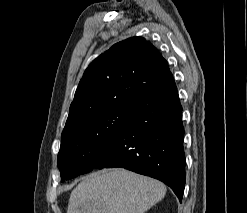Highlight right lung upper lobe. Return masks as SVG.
Instances as JSON below:
<instances>
[{"instance_id":"1","label":"right lung upper lobe","mask_w":247,"mask_h":213,"mask_svg":"<svg viewBox=\"0 0 247 213\" xmlns=\"http://www.w3.org/2000/svg\"><path fill=\"white\" fill-rule=\"evenodd\" d=\"M172 78L167 61L145 38L133 37L114 44L85 70L62 134Z\"/></svg>"}]
</instances>
